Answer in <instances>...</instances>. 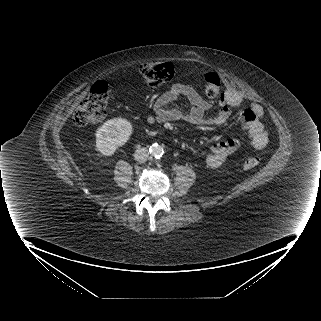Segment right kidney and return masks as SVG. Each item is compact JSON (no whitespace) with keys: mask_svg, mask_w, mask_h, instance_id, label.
I'll return each mask as SVG.
<instances>
[{"mask_svg":"<svg viewBox=\"0 0 321 321\" xmlns=\"http://www.w3.org/2000/svg\"><path fill=\"white\" fill-rule=\"evenodd\" d=\"M132 132L133 126L127 119H110L96 131V149L103 155H113L117 147L129 140Z\"/></svg>","mask_w":321,"mask_h":321,"instance_id":"obj_1","label":"right kidney"}]
</instances>
